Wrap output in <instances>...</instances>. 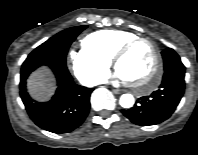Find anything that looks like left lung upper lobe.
Wrapping results in <instances>:
<instances>
[{"label":"left lung upper lobe","mask_w":198,"mask_h":155,"mask_svg":"<svg viewBox=\"0 0 198 155\" xmlns=\"http://www.w3.org/2000/svg\"><path fill=\"white\" fill-rule=\"evenodd\" d=\"M164 60V70L165 72L174 68V67H184L183 63L180 60L178 54L171 48L165 49L162 52Z\"/></svg>","instance_id":"obj_1"}]
</instances>
